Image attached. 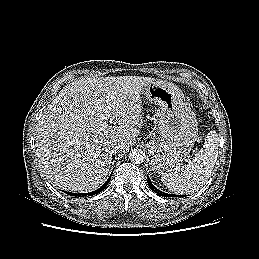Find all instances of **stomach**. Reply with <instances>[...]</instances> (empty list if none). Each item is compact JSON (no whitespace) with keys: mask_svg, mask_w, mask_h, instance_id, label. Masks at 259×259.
I'll list each match as a JSON object with an SVG mask.
<instances>
[{"mask_svg":"<svg viewBox=\"0 0 259 259\" xmlns=\"http://www.w3.org/2000/svg\"><path fill=\"white\" fill-rule=\"evenodd\" d=\"M146 99L156 106L160 137L147 146L151 168L158 173L180 166L197 139L198 124L182 91L173 83L156 80L145 89Z\"/></svg>","mask_w":259,"mask_h":259,"instance_id":"stomach-1","label":"stomach"}]
</instances>
